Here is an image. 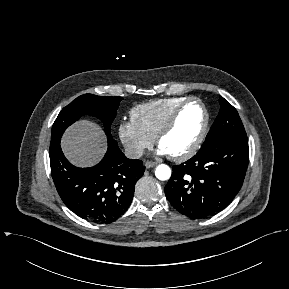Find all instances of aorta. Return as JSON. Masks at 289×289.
Listing matches in <instances>:
<instances>
[{"label": "aorta", "mask_w": 289, "mask_h": 289, "mask_svg": "<svg viewBox=\"0 0 289 289\" xmlns=\"http://www.w3.org/2000/svg\"><path fill=\"white\" fill-rule=\"evenodd\" d=\"M155 176L162 181L168 180L171 177V169L166 164H160L155 169Z\"/></svg>", "instance_id": "obj_1"}]
</instances>
